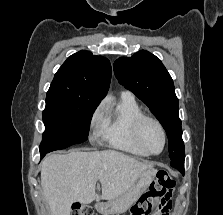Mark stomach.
<instances>
[{
  "label": "stomach",
  "instance_id": "0dacf381",
  "mask_svg": "<svg viewBox=\"0 0 223 215\" xmlns=\"http://www.w3.org/2000/svg\"><path fill=\"white\" fill-rule=\"evenodd\" d=\"M156 173L157 169H154V167L144 169V171H141L134 185L126 193L118 195L116 199H110L109 201H104V203H96V209H98L99 213H104V215L127 211L135 201H138L140 195L149 189L154 177H156Z\"/></svg>",
  "mask_w": 223,
  "mask_h": 215
}]
</instances>
